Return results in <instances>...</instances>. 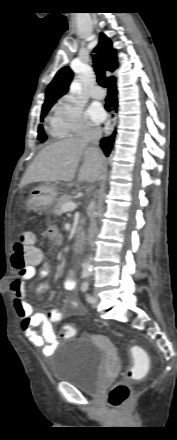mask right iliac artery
Returning <instances> with one entry per match:
<instances>
[{
    "label": "right iliac artery",
    "mask_w": 177,
    "mask_h": 440,
    "mask_svg": "<svg viewBox=\"0 0 177 440\" xmlns=\"http://www.w3.org/2000/svg\"><path fill=\"white\" fill-rule=\"evenodd\" d=\"M87 276V274H82V278H86Z\"/></svg>",
    "instance_id": "right-iliac-artery-1"
}]
</instances>
